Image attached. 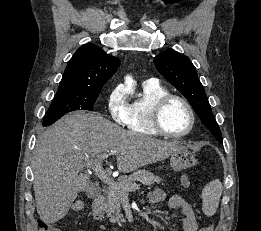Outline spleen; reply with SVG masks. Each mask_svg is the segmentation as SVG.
Masks as SVG:
<instances>
[{
	"label": "spleen",
	"mask_w": 261,
	"mask_h": 231,
	"mask_svg": "<svg viewBox=\"0 0 261 231\" xmlns=\"http://www.w3.org/2000/svg\"><path fill=\"white\" fill-rule=\"evenodd\" d=\"M222 183L220 180H212L202 190L203 206L205 215L213 216L218 208L219 200L222 194Z\"/></svg>",
	"instance_id": "3e777b00"
}]
</instances>
